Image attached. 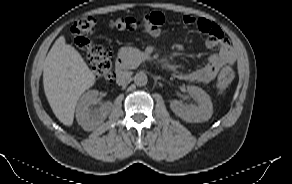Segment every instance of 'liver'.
Listing matches in <instances>:
<instances>
[{
    "label": "liver",
    "instance_id": "6515ba94",
    "mask_svg": "<svg viewBox=\"0 0 292 184\" xmlns=\"http://www.w3.org/2000/svg\"><path fill=\"white\" fill-rule=\"evenodd\" d=\"M95 83V75L79 52L60 36L50 49L43 67V85L49 105L66 126L74 120L80 96Z\"/></svg>",
    "mask_w": 292,
    "mask_h": 184
}]
</instances>
